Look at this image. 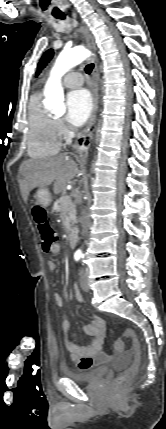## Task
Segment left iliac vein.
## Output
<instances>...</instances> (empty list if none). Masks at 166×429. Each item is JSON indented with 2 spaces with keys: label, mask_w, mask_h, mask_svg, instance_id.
<instances>
[{
  "label": "left iliac vein",
  "mask_w": 166,
  "mask_h": 429,
  "mask_svg": "<svg viewBox=\"0 0 166 429\" xmlns=\"http://www.w3.org/2000/svg\"><path fill=\"white\" fill-rule=\"evenodd\" d=\"M80 286L84 291H88L90 289L87 276L84 270H81L80 272Z\"/></svg>",
  "instance_id": "obj_1"
}]
</instances>
